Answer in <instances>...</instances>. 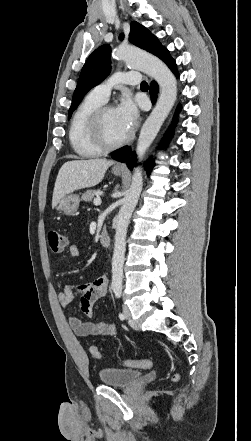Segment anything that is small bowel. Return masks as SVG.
Listing matches in <instances>:
<instances>
[{
    "label": "small bowel",
    "mask_w": 251,
    "mask_h": 441,
    "mask_svg": "<svg viewBox=\"0 0 251 441\" xmlns=\"http://www.w3.org/2000/svg\"><path fill=\"white\" fill-rule=\"evenodd\" d=\"M71 256L80 255L79 248L76 245L69 247ZM109 278L107 274H101L92 283H83L79 285H66L58 293V301L61 306L67 307L73 301L75 295L79 296L80 308L88 317L93 315V306L97 300L104 297L108 291ZM71 329L76 335L87 336H112L116 334V327L109 322H84L77 316H70L68 319Z\"/></svg>",
    "instance_id": "1"
}]
</instances>
